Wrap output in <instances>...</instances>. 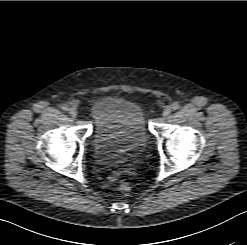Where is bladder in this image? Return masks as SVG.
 <instances>
[{
  "mask_svg": "<svg viewBox=\"0 0 247 245\" xmlns=\"http://www.w3.org/2000/svg\"><path fill=\"white\" fill-rule=\"evenodd\" d=\"M93 153L102 164H112L141 153L149 136L146 117L134 101L115 96L99 99L92 106Z\"/></svg>",
  "mask_w": 247,
  "mask_h": 245,
  "instance_id": "1",
  "label": "bladder"
}]
</instances>
